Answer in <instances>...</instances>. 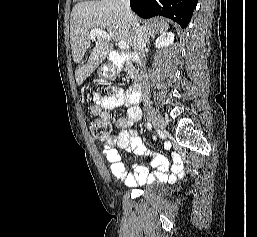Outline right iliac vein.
Listing matches in <instances>:
<instances>
[{
  "instance_id": "63e3f726",
  "label": "right iliac vein",
  "mask_w": 257,
  "mask_h": 237,
  "mask_svg": "<svg viewBox=\"0 0 257 237\" xmlns=\"http://www.w3.org/2000/svg\"><path fill=\"white\" fill-rule=\"evenodd\" d=\"M147 115L152 122L156 133L159 135L162 134L164 130V124L161 116L151 107L147 109Z\"/></svg>"
}]
</instances>
